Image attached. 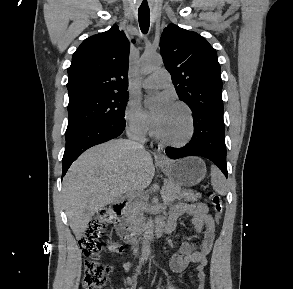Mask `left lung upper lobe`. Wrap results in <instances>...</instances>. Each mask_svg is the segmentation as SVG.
Wrapping results in <instances>:
<instances>
[{
    "instance_id": "obj_1",
    "label": "left lung upper lobe",
    "mask_w": 293,
    "mask_h": 289,
    "mask_svg": "<svg viewBox=\"0 0 293 289\" xmlns=\"http://www.w3.org/2000/svg\"><path fill=\"white\" fill-rule=\"evenodd\" d=\"M160 53L179 98L192 112L223 113L221 68L216 50L205 38L169 24L161 35Z\"/></svg>"
}]
</instances>
